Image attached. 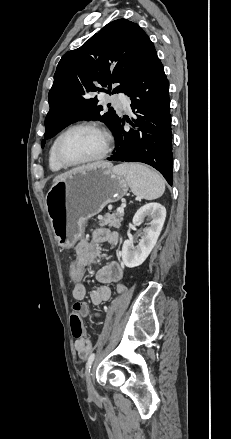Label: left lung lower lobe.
I'll return each instance as SVG.
<instances>
[{
  "label": "left lung lower lobe",
  "mask_w": 231,
  "mask_h": 439,
  "mask_svg": "<svg viewBox=\"0 0 231 439\" xmlns=\"http://www.w3.org/2000/svg\"><path fill=\"white\" fill-rule=\"evenodd\" d=\"M135 112L133 128L125 131L120 118L114 131L116 148L108 160L142 162L157 169L172 185L173 156L169 83L155 47L125 88ZM123 119V123H124Z\"/></svg>",
  "instance_id": "0a47b994"
}]
</instances>
